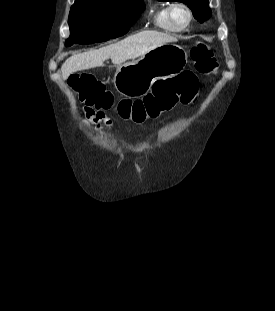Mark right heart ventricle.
Returning <instances> with one entry per match:
<instances>
[{"label":"right heart ventricle","instance_id":"1","mask_svg":"<svg viewBox=\"0 0 275 311\" xmlns=\"http://www.w3.org/2000/svg\"><path fill=\"white\" fill-rule=\"evenodd\" d=\"M169 6L170 5L168 3L157 5L152 13V23L161 31L175 33L178 31L173 28L168 19Z\"/></svg>","mask_w":275,"mask_h":311}]
</instances>
